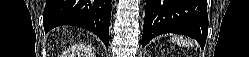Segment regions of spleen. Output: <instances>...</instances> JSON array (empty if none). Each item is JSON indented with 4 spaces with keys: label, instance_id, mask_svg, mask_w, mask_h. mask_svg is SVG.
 Wrapping results in <instances>:
<instances>
[{
    "label": "spleen",
    "instance_id": "obj_1",
    "mask_svg": "<svg viewBox=\"0 0 249 57\" xmlns=\"http://www.w3.org/2000/svg\"><path fill=\"white\" fill-rule=\"evenodd\" d=\"M173 42H176L178 45H190L191 41L189 39H184L179 36H173L171 39Z\"/></svg>",
    "mask_w": 249,
    "mask_h": 57
}]
</instances>
